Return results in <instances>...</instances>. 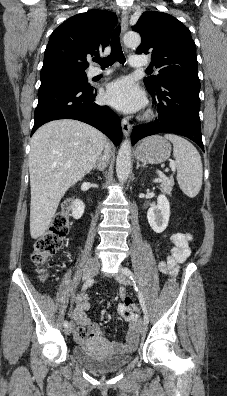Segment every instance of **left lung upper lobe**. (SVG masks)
Wrapping results in <instances>:
<instances>
[{
    "label": "left lung upper lobe",
    "instance_id": "1",
    "mask_svg": "<svg viewBox=\"0 0 227 396\" xmlns=\"http://www.w3.org/2000/svg\"><path fill=\"white\" fill-rule=\"evenodd\" d=\"M132 30L142 39L136 53H152L151 64L159 69L157 76L144 78L148 89H157L169 80L200 82L196 46L183 23L167 13L147 11Z\"/></svg>",
    "mask_w": 227,
    "mask_h": 396
}]
</instances>
